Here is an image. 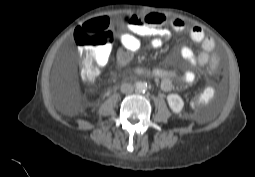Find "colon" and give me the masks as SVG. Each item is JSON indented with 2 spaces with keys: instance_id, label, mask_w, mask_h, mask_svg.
Segmentation results:
<instances>
[{
  "instance_id": "obj_1",
  "label": "colon",
  "mask_w": 255,
  "mask_h": 177,
  "mask_svg": "<svg viewBox=\"0 0 255 177\" xmlns=\"http://www.w3.org/2000/svg\"><path fill=\"white\" fill-rule=\"evenodd\" d=\"M78 29L75 32V41L81 53L82 75L85 80L91 82L101 67L96 58V52L111 46L113 36L108 21L104 18L85 23L82 32H78ZM216 68L212 69L211 72H214Z\"/></svg>"
}]
</instances>
